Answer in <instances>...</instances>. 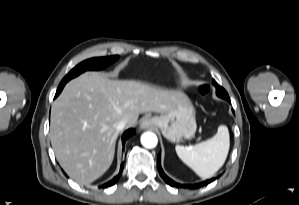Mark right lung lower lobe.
<instances>
[{"label":"right lung lower lobe","mask_w":299,"mask_h":205,"mask_svg":"<svg viewBox=\"0 0 299 205\" xmlns=\"http://www.w3.org/2000/svg\"><path fill=\"white\" fill-rule=\"evenodd\" d=\"M63 87H64V85L58 87L55 97H57V96L60 94V92L62 91ZM134 133H135V130H134V129H129V130H127V131L123 134V136H122V143H123V146L125 145L126 140H127L131 135H133ZM122 170H123V164L121 165L119 174H118L116 177H114L111 181H109V182L105 183L104 185H102V187H103V188H106V187H109V186L114 185V184L118 181V179L120 178Z\"/></svg>","instance_id":"1"}]
</instances>
